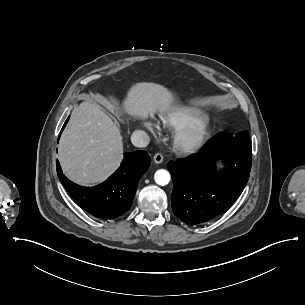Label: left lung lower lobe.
<instances>
[{
  "mask_svg": "<svg viewBox=\"0 0 305 305\" xmlns=\"http://www.w3.org/2000/svg\"><path fill=\"white\" fill-rule=\"evenodd\" d=\"M226 167L219 172L216 161ZM252 147L248 131L221 133L198 154L168 163L174 214L188 225L204 223L226 211L242 193L250 175Z\"/></svg>",
  "mask_w": 305,
  "mask_h": 305,
  "instance_id": "obj_1",
  "label": "left lung lower lobe"
}]
</instances>
